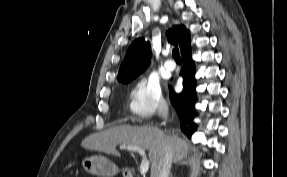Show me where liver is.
Returning <instances> with one entry per match:
<instances>
[{
  "instance_id": "6515ba94",
  "label": "liver",
  "mask_w": 287,
  "mask_h": 177,
  "mask_svg": "<svg viewBox=\"0 0 287 177\" xmlns=\"http://www.w3.org/2000/svg\"><path fill=\"white\" fill-rule=\"evenodd\" d=\"M139 146L148 151L151 177L155 173L167 145L171 148L172 161L178 162L188 153V145L178 135H168L153 126L119 125L87 136L81 143L85 149L120 156L117 145Z\"/></svg>"
}]
</instances>
